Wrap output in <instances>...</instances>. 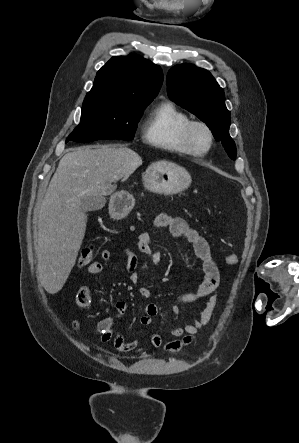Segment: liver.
Listing matches in <instances>:
<instances>
[{"instance_id": "liver-1", "label": "liver", "mask_w": 299, "mask_h": 443, "mask_svg": "<svg viewBox=\"0 0 299 443\" xmlns=\"http://www.w3.org/2000/svg\"><path fill=\"white\" fill-rule=\"evenodd\" d=\"M141 165L135 151L115 145L80 147L61 158L38 216L37 272L48 293L62 289L75 265L87 223L80 199L112 193V183Z\"/></svg>"}]
</instances>
